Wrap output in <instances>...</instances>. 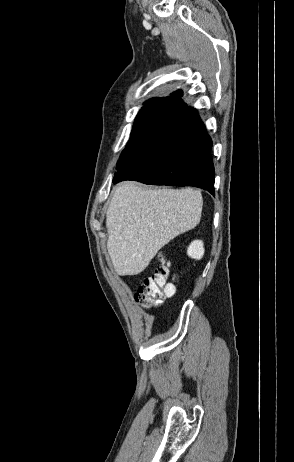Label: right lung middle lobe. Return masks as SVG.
Returning a JSON list of instances; mask_svg holds the SVG:
<instances>
[{
	"label": "right lung middle lobe",
	"mask_w": 294,
	"mask_h": 462,
	"mask_svg": "<svg viewBox=\"0 0 294 462\" xmlns=\"http://www.w3.org/2000/svg\"><path fill=\"white\" fill-rule=\"evenodd\" d=\"M178 98H164L147 103L139 111L130 136L117 163V172L126 167L145 147L160 137L186 109Z\"/></svg>",
	"instance_id": "dd1d6c3e"
}]
</instances>
